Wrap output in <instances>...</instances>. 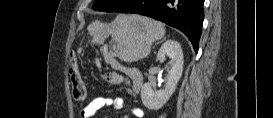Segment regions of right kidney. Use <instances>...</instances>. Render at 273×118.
<instances>
[{"label":"right kidney","instance_id":"1","mask_svg":"<svg viewBox=\"0 0 273 118\" xmlns=\"http://www.w3.org/2000/svg\"><path fill=\"white\" fill-rule=\"evenodd\" d=\"M168 56L171 59V70L167 75L164 90H155L152 83H145L141 89V100L145 107L158 110L169 100L174 93L183 71V53L180 44L175 40H167L160 48L157 59L160 62Z\"/></svg>","mask_w":273,"mask_h":118}]
</instances>
